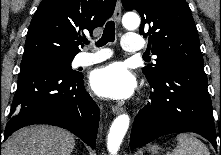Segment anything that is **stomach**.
Listing matches in <instances>:
<instances>
[{
	"mask_svg": "<svg viewBox=\"0 0 221 155\" xmlns=\"http://www.w3.org/2000/svg\"><path fill=\"white\" fill-rule=\"evenodd\" d=\"M150 151H152L153 155L157 153L158 147L156 145H152L148 148Z\"/></svg>",
	"mask_w": 221,
	"mask_h": 155,
	"instance_id": "obj_1",
	"label": "stomach"
}]
</instances>
